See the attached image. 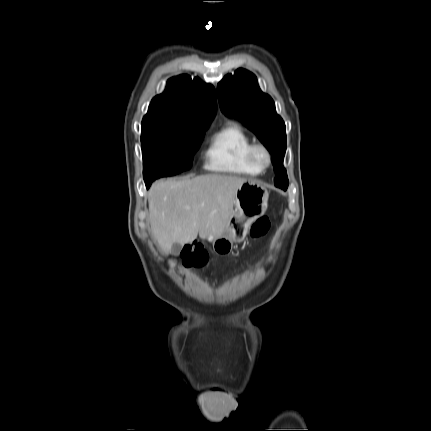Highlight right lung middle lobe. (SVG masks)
<instances>
[{
	"label": "right lung middle lobe",
	"mask_w": 431,
	"mask_h": 431,
	"mask_svg": "<svg viewBox=\"0 0 431 431\" xmlns=\"http://www.w3.org/2000/svg\"><path fill=\"white\" fill-rule=\"evenodd\" d=\"M208 127L142 121L144 180H155L190 169L193 155Z\"/></svg>",
	"instance_id": "1"
}]
</instances>
